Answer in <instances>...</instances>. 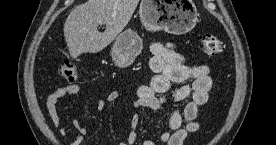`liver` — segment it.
<instances>
[{
    "mask_svg": "<svg viewBox=\"0 0 276 145\" xmlns=\"http://www.w3.org/2000/svg\"><path fill=\"white\" fill-rule=\"evenodd\" d=\"M139 0H87L74 7L64 23L70 55L97 53L107 47L126 27ZM105 24L104 32L98 26Z\"/></svg>",
    "mask_w": 276,
    "mask_h": 145,
    "instance_id": "liver-1",
    "label": "liver"
}]
</instances>
